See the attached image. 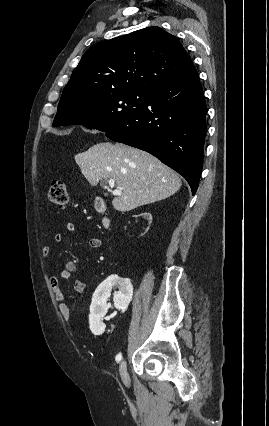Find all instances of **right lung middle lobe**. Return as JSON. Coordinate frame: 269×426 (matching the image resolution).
Wrapping results in <instances>:
<instances>
[{"instance_id":"1","label":"right lung middle lobe","mask_w":269,"mask_h":426,"mask_svg":"<svg viewBox=\"0 0 269 426\" xmlns=\"http://www.w3.org/2000/svg\"><path fill=\"white\" fill-rule=\"evenodd\" d=\"M147 93L117 92L90 98H61L53 126L83 124L103 132L121 125L145 105Z\"/></svg>"}]
</instances>
